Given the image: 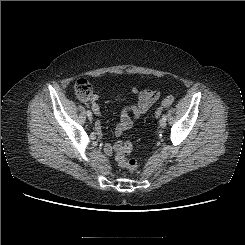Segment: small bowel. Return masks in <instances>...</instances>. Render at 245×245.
<instances>
[{"mask_svg": "<svg viewBox=\"0 0 245 245\" xmlns=\"http://www.w3.org/2000/svg\"><path fill=\"white\" fill-rule=\"evenodd\" d=\"M131 95L133 98H137L136 104H127L124 106L121 113V122L117 128V135H120L122 131L130 128L134 123H136L141 116L146 113L152 105L158 100L160 94L159 91L153 89H145L139 91L136 87L131 88ZM97 95H92L87 103L91 106L94 114L100 116V106L97 102ZM129 112L132 115H129ZM119 143L107 144L104 147V152L106 155H112V153L118 148Z\"/></svg>", "mask_w": 245, "mask_h": 245, "instance_id": "1", "label": "small bowel"}]
</instances>
